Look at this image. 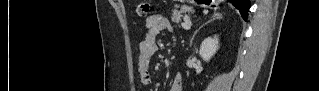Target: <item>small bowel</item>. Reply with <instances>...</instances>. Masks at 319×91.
Masks as SVG:
<instances>
[{
	"label": "small bowel",
	"instance_id": "1",
	"mask_svg": "<svg viewBox=\"0 0 319 91\" xmlns=\"http://www.w3.org/2000/svg\"><path fill=\"white\" fill-rule=\"evenodd\" d=\"M145 28V36L138 44L137 60V73L139 76V82L142 85H148L152 82L153 69L151 66V60L157 54L159 49L157 37L161 33L171 32L172 25L166 17L160 14H153L146 18ZM181 90L182 78L179 73H176L171 80L170 91Z\"/></svg>",
	"mask_w": 319,
	"mask_h": 91
}]
</instances>
